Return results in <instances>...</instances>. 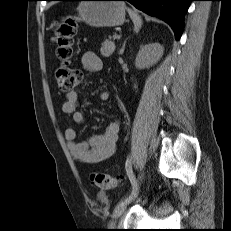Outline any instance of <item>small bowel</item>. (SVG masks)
Returning a JSON list of instances; mask_svg holds the SVG:
<instances>
[{"label": "small bowel", "mask_w": 231, "mask_h": 231, "mask_svg": "<svg viewBox=\"0 0 231 231\" xmlns=\"http://www.w3.org/2000/svg\"><path fill=\"white\" fill-rule=\"evenodd\" d=\"M83 67L91 72H99L103 69V62L100 57L93 52H86L82 56ZM102 102L110 100V94L103 91L99 95ZM79 97L74 91L66 95V100L62 104V112L69 114L76 124L85 121V114L78 109ZM120 122H111L106 126L105 132L101 135L91 136L86 141H76L77 132L73 127L65 130L64 136L72 157L81 163L94 164L112 156L118 147Z\"/></svg>", "instance_id": "1"}]
</instances>
